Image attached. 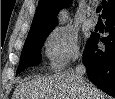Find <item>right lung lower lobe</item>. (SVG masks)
<instances>
[{
	"instance_id": "1",
	"label": "right lung lower lobe",
	"mask_w": 115,
	"mask_h": 99,
	"mask_svg": "<svg viewBox=\"0 0 115 99\" xmlns=\"http://www.w3.org/2000/svg\"><path fill=\"white\" fill-rule=\"evenodd\" d=\"M107 21V37L101 39L105 49L100 50L96 44L99 35L92 34L89 38L83 61L86 66L89 80L107 94L115 97V10L102 16Z\"/></svg>"
}]
</instances>
